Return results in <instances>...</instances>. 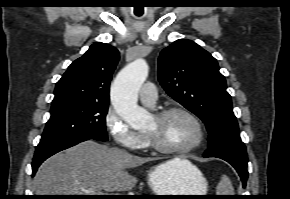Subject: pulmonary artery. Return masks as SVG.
I'll return each instance as SVG.
<instances>
[{"label":"pulmonary artery","instance_id":"e3ab8cb5","mask_svg":"<svg viewBox=\"0 0 290 199\" xmlns=\"http://www.w3.org/2000/svg\"><path fill=\"white\" fill-rule=\"evenodd\" d=\"M140 101L147 106H154L157 101V90L153 83L144 84L139 91Z\"/></svg>","mask_w":290,"mask_h":199}]
</instances>
